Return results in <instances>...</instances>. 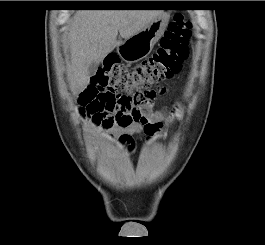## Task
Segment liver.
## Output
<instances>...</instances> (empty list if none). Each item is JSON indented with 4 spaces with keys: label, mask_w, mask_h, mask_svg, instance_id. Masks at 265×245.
Returning <instances> with one entry per match:
<instances>
[{
    "label": "liver",
    "mask_w": 265,
    "mask_h": 245,
    "mask_svg": "<svg viewBox=\"0 0 265 245\" xmlns=\"http://www.w3.org/2000/svg\"><path fill=\"white\" fill-rule=\"evenodd\" d=\"M160 10H79L71 22L67 41L70 63L67 66L69 87L74 95L82 92L90 82L88 67L101 62L121 41L138 33Z\"/></svg>",
    "instance_id": "1"
}]
</instances>
